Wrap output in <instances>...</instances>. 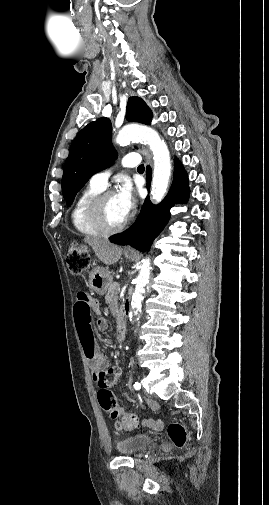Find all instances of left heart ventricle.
<instances>
[{"instance_id": "left-heart-ventricle-1", "label": "left heart ventricle", "mask_w": 269, "mask_h": 505, "mask_svg": "<svg viewBox=\"0 0 269 505\" xmlns=\"http://www.w3.org/2000/svg\"><path fill=\"white\" fill-rule=\"evenodd\" d=\"M104 216L111 226L119 225L126 219L122 215L114 195L109 196L104 203Z\"/></svg>"}]
</instances>
